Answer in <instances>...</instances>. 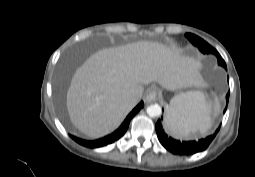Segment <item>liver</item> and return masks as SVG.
<instances>
[{"label": "liver", "instance_id": "liver-1", "mask_svg": "<svg viewBox=\"0 0 255 177\" xmlns=\"http://www.w3.org/2000/svg\"><path fill=\"white\" fill-rule=\"evenodd\" d=\"M175 91L202 82L197 64L178 50L140 41L92 54L71 79L66 105L71 122L90 138L114 131L141 99L144 85Z\"/></svg>", "mask_w": 255, "mask_h": 177}]
</instances>
